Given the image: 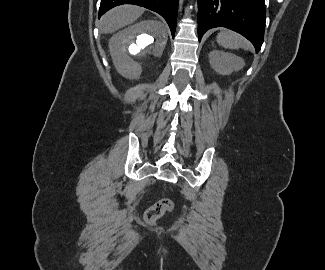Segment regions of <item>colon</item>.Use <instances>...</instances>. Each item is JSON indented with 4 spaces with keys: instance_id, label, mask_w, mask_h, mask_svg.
I'll use <instances>...</instances> for the list:
<instances>
[{
    "instance_id": "obj_1",
    "label": "colon",
    "mask_w": 325,
    "mask_h": 270,
    "mask_svg": "<svg viewBox=\"0 0 325 270\" xmlns=\"http://www.w3.org/2000/svg\"><path fill=\"white\" fill-rule=\"evenodd\" d=\"M174 204L168 198L160 199L145 212V221L149 224L155 223L165 213L172 211Z\"/></svg>"
}]
</instances>
